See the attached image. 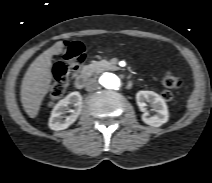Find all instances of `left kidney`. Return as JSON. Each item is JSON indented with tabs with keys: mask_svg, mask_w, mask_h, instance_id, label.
<instances>
[{
	"mask_svg": "<svg viewBox=\"0 0 212 183\" xmlns=\"http://www.w3.org/2000/svg\"><path fill=\"white\" fill-rule=\"evenodd\" d=\"M137 105L142 114V121L150 126L159 127L165 124L169 118L168 107L165 100L153 91H139L136 94ZM146 102H149L157 114L150 116L146 111Z\"/></svg>",
	"mask_w": 212,
	"mask_h": 183,
	"instance_id": "1",
	"label": "left kidney"
}]
</instances>
